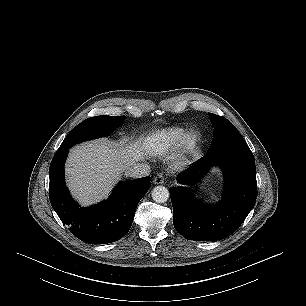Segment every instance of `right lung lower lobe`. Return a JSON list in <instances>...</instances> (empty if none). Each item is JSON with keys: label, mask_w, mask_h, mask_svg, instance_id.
<instances>
[{"label": "right lung lower lobe", "mask_w": 306, "mask_h": 306, "mask_svg": "<svg viewBox=\"0 0 306 306\" xmlns=\"http://www.w3.org/2000/svg\"><path fill=\"white\" fill-rule=\"evenodd\" d=\"M68 149L56 153L49 168V198L63 224L80 240L106 244L119 240L129 231L136 207L147 193L151 177L120 182L109 198L82 208L71 198L64 179Z\"/></svg>", "instance_id": "98d812e1"}]
</instances>
